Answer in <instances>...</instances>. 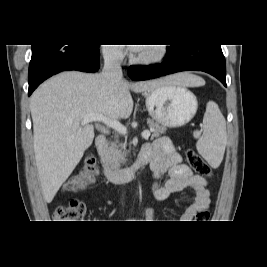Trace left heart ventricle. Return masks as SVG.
Masks as SVG:
<instances>
[{"label": "left heart ventricle", "mask_w": 267, "mask_h": 267, "mask_svg": "<svg viewBox=\"0 0 267 267\" xmlns=\"http://www.w3.org/2000/svg\"><path fill=\"white\" fill-rule=\"evenodd\" d=\"M155 47H143L139 50L138 54L147 55L155 52Z\"/></svg>", "instance_id": "obj_1"}]
</instances>
